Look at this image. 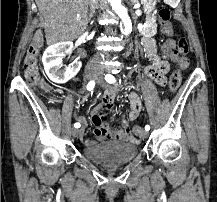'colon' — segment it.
Segmentation results:
<instances>
[{
	"instance_id": "5ec220e1",
	"label": "colon",
	"mask_w": 217,
	"mask_h": 202,
	"mask_svg": "<svg viewBox=\"0 0 217 202\" xmlns=\"http://www.w3.org/2000/svg\"><path fill=\"white\" fill-rule=\"evenodd\" d=\"M159 22L161 26V32L163 35L168 36L172 33L171 26V10L167 7H162L158 11ZM42 43V35L40 33H36L33 41H29V48L26 51L23 68L24 75L29 84L36 85V91H50V86H40L41 85V77L38 70V55L41 48ZM167 45L170 48L174 49L176 54L175 62L177 67L170 76V84L169 89L171 92H176L182 83V77L179 74V70H187L189 67V42L184 37H179L176 40L167 41ZM155 71L158 70L155 68ZM133 132H138V127L132 128Z\"/></svg>"
}]
</instances>
